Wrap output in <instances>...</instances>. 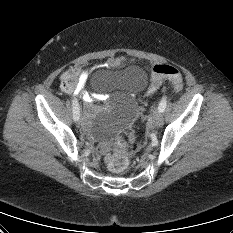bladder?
Wrapping results in <instances>:
<instances>
[{
    "mask_svg": "<svg viewBox=\"0 0 233 233\" xmlns=\"http://www.w3.org/2000/svg\"><path fill=\"white\" fill-rule=\"evenodd\" d=\"M148 82L147 73L138 66L124 70H99L91 79L96 90H119L126 93L143 91ZM138 107L132 99L122 100L118 104H108L102 112L91 114L87 131L98 140L111 138L127 129L137 115Z\"/></svg>",
    "mask_w": 233,
    "mask_h": 233,
    "instance_id": "obj_1",
    "label": "bladder"
}]
</instances>
